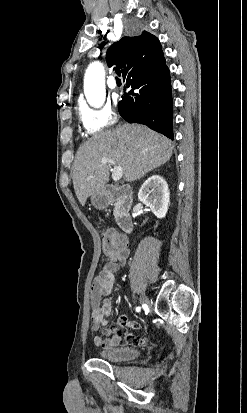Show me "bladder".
I'll list each match as a JSON object with an SVG mask.
<instances>
[{
    "label": "bladder",
    "mask_w": 247,
    "mask_h": 413,
    "mask_svg": "<svg viewBox=\"0 0 247 413\" xmlns=\"http://www.w3.org/2000/svg\"><path fill=\"white\" fill-rule=\"evenodd\" d=\"M140 356V348L138 347H122L112 350H99L97 358H102L113 362H126L128 360L138 359Z\"/></svg>",
    "instance_id": "1"
}]
</instances>
